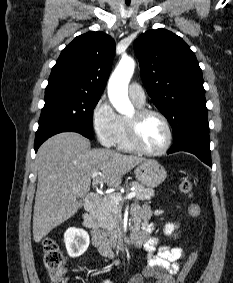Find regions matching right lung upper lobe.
Wrapping results in <instances>:
<instances>
[{"instance_id": "obj_1", "label": "right lung upper lobe", "mask_w": 233, "mask_h": 283, "mask_svg": "<svg viewBox=\"0 0 233 283\" xmlns=\"http://www.w3.org/2000/svg\"><path fill=\"white\" fill-rule=\"evenodd\" d=\"M115 41L104 32L77 36L61 52L52 68L48 86H62L102 94L109 77Z\"/></svg>"}]
</instances>
